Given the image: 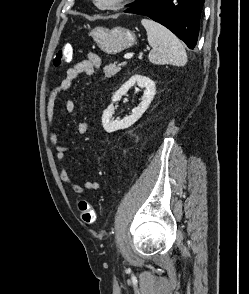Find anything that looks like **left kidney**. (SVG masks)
<instances>
[{
  "instance_id": "obj_1",
  "label": "left kidney",
  "mask_w": 249,
  "mask_h": 294,
  "mask_svg": "<svg viewBox=\"0 0 249 294\" xmlns=\"http://www.w3.org/2000/svg\"><path fill=\"white\" fill-rule=\"evenodd\" d=\"M134 85H138L141 88H145L144 94L141 97V102L137 107L132 110L130 116L123 119L113 120L114 103L119 101L123 95ZM156 93L155 83L148 77L142 75H133L128 81H126L113 95L112 103L104 110L102 115V125L106 132L112 133L117 130L126 129L133 125L147 110L151 101Z\"/></svg>"
}]
</instances>
